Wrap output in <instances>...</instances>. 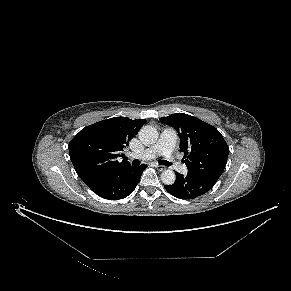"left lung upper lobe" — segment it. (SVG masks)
I'll return each instance as SVG.
<instances>
[{
    "label": "left lung upper lobe",
    "instance_id": "obj_1",
    "mask_svg": "<svg viewBox=\"0 0 291 291\" xmlns=\"http://www.w3.org/2000/svg\"><path fill=\"white\" fill-rule=\"evenodd\" d=\"M160 121L177 130L188 174H222L229 147L214 126L184 113L162 117Z\"/></svg>",
    "mask_w": 291,
    "mask_h": 291
}]
</instances>
